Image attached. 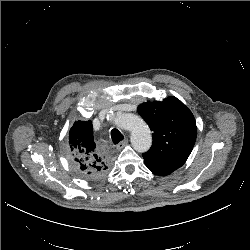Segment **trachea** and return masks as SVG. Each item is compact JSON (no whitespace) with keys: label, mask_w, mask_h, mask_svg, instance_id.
<instances>
[{"label":"trachea","mask_w":250,"mask_h":250,"mask_svg":"<svg viewBox=\"0 0 250 250\" xmlns=\"http://www.w3.org/2000/svg\"><path fill=\"white\" fill-rule=\"evenodd\" d=\"M111 138L114 144H118L123 140V135L118 129L114 128L111 130Z\"/></svg>","instance_id":"trachea-1"}]
</instances>
